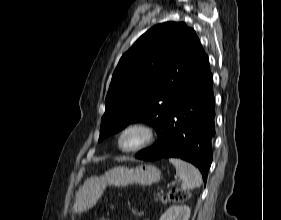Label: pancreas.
I'll return each mask as SVG.
<instances>
[{"label": "pancreas", "mask_w": 281, "mask_h": 220, "mask_svg": "<svg viewBox=\"0 0 281 220\" xmlns=\"http://www.w3.org/2000/svg\"><path fill=\"white\" fill-rule=\"evenodd\" d=\"M163 198H164V195H161V196L157 197L156 200L163 199Z\"/></svg>", "instance_id": "cf45deb5"}]
</instances>
